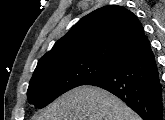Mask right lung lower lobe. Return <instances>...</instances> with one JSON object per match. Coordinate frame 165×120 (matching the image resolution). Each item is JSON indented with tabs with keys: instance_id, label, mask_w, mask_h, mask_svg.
Listing matches in <instances>:
<instances>
[{
	"instance_id": "98d812e1",
	"label": "right lung lower lobe",
	"mask_w": 165,
	"mask_h": 120,
	"mask_svg": "<svg viewBox=\"0 0 165 120\" xmlns=\"http://www.w3.org/2000/svg\"><path fill=\"white\" fill-rule=\"evenodd\" d=\"M86 85L101 87L116 95L144 120H163L162 87L150 44Z\"/></svg>"
}]
</instances>
